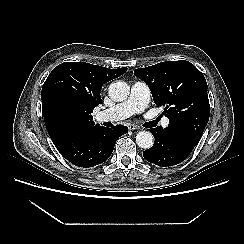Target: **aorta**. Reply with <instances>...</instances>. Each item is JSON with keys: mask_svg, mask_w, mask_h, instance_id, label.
Instances as JSON below:
<instances>
[{"mask_svg": "<svg viewBox=\"0 0 244 244\" xmlns=\"http://www.w3.org/2000/svg\"><path fill=\"white\" fill-rule=\"evenodd\" d=\"M110 98L116 102L125 101L130 94V87L126 82L118 81L110 84L108 89ZM136 144L143 149H149L154 144V137L149 131H140L136 135Z\"/></svg>", "mask_w": 244, "mask_h": 244, "instance_id": "obj_1", "label": "aorta"}]
</instances>
